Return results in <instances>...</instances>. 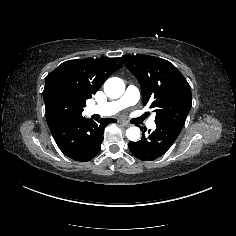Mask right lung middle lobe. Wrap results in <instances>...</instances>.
<instances>
[{"instance_id":"obj_1","label":"right lung middle lobe","mask_w":236,"mask_h":236,"mask_svg":"<svg viewBox=\"0 0 236 236\" xmlns=\"http://www.w3.org/2000/svg\"><path fill=\"white\" fill-rule=\"evenodd\" d=\"M48 126L77 117L82 114L81 109L65 106L54 95L44 100Z\"/></svg>"}]
</instances>
